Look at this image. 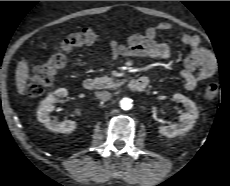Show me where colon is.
Segmentation results:
<instances>
[{
	"label": "colon",
	"instance_id": "obj_1",
	"mask_svg": "<svg viewBox=\"0 0 230 186\" xmlns=\"http://www.w3.org/2000/svg\"><path fill=\"white\" fill-rule=\"evenodd\" d=\"M98 40V34L92 29H83L68 36L60 48L51 53L46 62L34 66L28 76L27 92L32 97L41 96L45 89L52 83L56 72L65 67L66 53L74 48L89 46ZM220 91L218 81L212 80L205 87L207 100H214Z\"/></svg>",
	"mask_w": 230,
	"mask_h": 186
}]
</instances>
